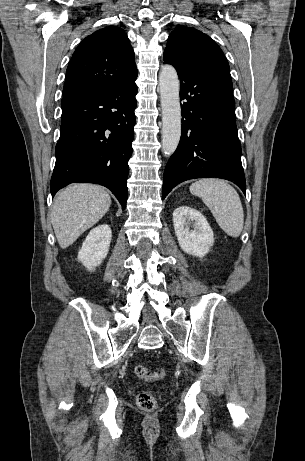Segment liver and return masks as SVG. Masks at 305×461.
Segmentation results:
<instances>
[{"label": "liver", "mask_w": 305, "mask_h": 461, "mask_svg": "<svg viewBox=\"0 0 305 461\" xmlns=\"http://www.w3.org/2000/svg\"><path fill=\"white\" fill-rule=\"evenodd\" d=\"M110 204L109 194L96 185L74 184L61 191L51 216L60 247L65 249L72 245L105 215Z\"/></svg>", "instance_id": "1"}]
</instances>
